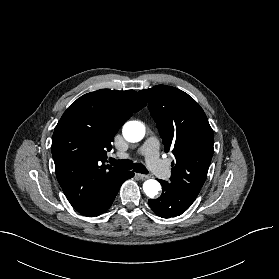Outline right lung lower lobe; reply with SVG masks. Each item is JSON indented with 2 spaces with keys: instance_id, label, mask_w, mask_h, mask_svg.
I'll return each mask as SVG.
<instances>
[{
  "instance_id": "right-lung-lower-lobe-1",
  "label": "right lung lower lobe",
  "mask_w": 279,
  "mask_h": 279,
  "mask_svg": "<svg viewBox=\"0 0 279 279\" xmlns=\"http://www.w3.org/2000/svg\"><path fill=\"white\" fill-rule=\"evenodd\" d=\"M133 176V172L123 171L122 174H120L118 177H116L106 185L100 195V198L93 207L79 213L87 217H94L104 213L112 205V202L114 201L122 183Z\"/></svg>"
}]
</instances>
